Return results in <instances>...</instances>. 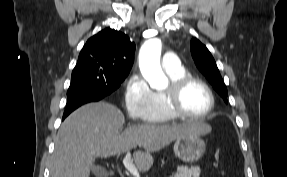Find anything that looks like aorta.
I'll return each instance as SVG.
<instances>
[{
    "label": "aorta",
    "mask_w": 287,
    "mask_h": 177,
    "mask_svg": "<svg viewBox=\"0 0 287 177\" xmlns=\"http://www.w3.org/2000/svg\"><path fill=\"white\" fill-rule=\"evenodd\" d=\"M162 44L154 38L146 41L140 49L139 67L143 77L152 89H164L168 80L160 66Z\"/></svg>",
    "instance_id": "obj_1"
}]
</instances>
